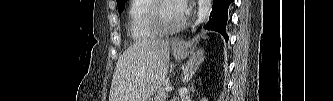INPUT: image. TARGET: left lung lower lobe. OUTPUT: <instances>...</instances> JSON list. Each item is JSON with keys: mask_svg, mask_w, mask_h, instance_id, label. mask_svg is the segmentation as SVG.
Segmentation results:
<instances>
[{"mask_svg": "<svg viewBox=\"0 0 333 101\" xmlns=\"http://www.w3.org/2000/svg\"><path fill=\"white\" fill-rule=\"evenodd\" d=\"M233 0H213L211 17L206 29L215 30L220 32L226 41H228V35L226 34V25L228 20V7Z\"/></svg>", "mask_w": 333, "mask_h": 101, "instance_id": "0a47b994", "label": "left lung lower lobe"}]
</instances>
